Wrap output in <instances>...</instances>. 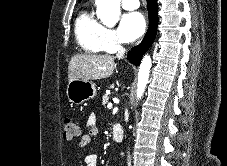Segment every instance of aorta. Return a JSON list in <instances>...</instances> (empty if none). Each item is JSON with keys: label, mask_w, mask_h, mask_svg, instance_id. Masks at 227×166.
Segmentation results:
<instances>
[{"label": "aorta", "mask_w": 227, "mask_h": 166, "mask_svg": "<svg viewBox=\"0 0 227 166\" xmlns=\"http://www.w3.org/2000/svg\"><path fill=\"white\" fill-rule=\"evenodd\" d=\"M97 14L101 22L106 26H114L120 16V0H96ZM151 58L145 55L141 61L138 72L137 97L141 98L148 83Z\"/></svg>", "instance_id": "obj_1"}]
</instances>
